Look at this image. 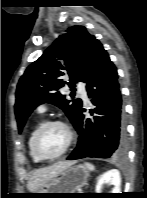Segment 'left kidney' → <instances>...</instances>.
<instances>
[{
  "label": "left kidney",
  "instance_id": "left-kidney-1",
  "mask_svg": "<svg viewBox=\"0 0 147 198\" xmlns=\"http://www.w3.org/2000/svg\"><path fill=\"white\" fill-rule=\"evenodd\" d=\"M104 184L113 185L111 193H121V177L117 169H111L104 173L97 182L96 193H101Z\"/></svg>",
  "mask_w": 147,
  "mask_h": 198
}]
</instances>
